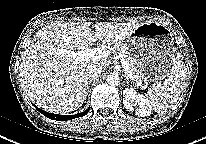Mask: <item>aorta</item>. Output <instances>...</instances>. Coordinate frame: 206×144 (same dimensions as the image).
<instances>
[{"label": "aorta", "instance_id": "aorta-1", "mask_svg": "<svg viewBox=\"0 0 206 144\" xmlns=\"http://www.w3.org/2000/svg\"><path fill=\"white\" fill-rule=\"evenodd\" d=\"M107 82L111 86H117L120 83V78H119L118 74L112 73V74L108 75Z\"/></svg>", "mask_w": 206, "mask_h": 144}]
</instances>
